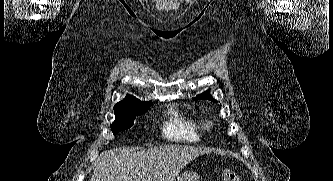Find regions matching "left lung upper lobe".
Listing matches in <instances>:
<instances>
[{
    "instance_id": "1",
    "label": "left lung upper lobe",
    "mask_w": 333,
    "mask_h": 181,
    "mask_svg": "<svg viewBox=\"0 0 333 181\" xmlns=\"http://www.w3.org/2000/svg\"><path fill=\"white\" fill-rule=\"evenodd\" d=\"M193 99H204V100H211V101H214V102H217L216 100H214L210 95H209V91H207L206 93H203L199 96H197L196 98H193Z\"/></svg>"
}]
</instances>
